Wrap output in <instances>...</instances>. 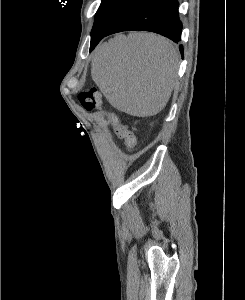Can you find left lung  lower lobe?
<instances>
[{"label":"left lung lower lobe","instance_id":"obj_1","mask_svg":"<svg viewBox=\"0 0 245 300\" xmlns=\"http://www.w3.org/2000/svg\"><path fill=\"white\" fill-rule=\"evenodd\" d=\"M132 30L151 31L161 34L174 42L181 39L182 23L178 17L177 0H141L122 16L105 32L91 33L90 51L106 36ZM183 56V46H179Z\"/></svg>","mask_w":245,"mask_h":300}]
</instances>
